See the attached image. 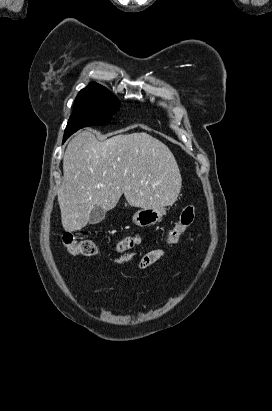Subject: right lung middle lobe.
Returning a JSON list of instances; mask_svg holds the SVG:
<instances>
[{
    "instance_id": "1",
    "label": "right lung middle lobe",
    "mask_w": 272,
    "mask_h": 411,
    "mask_svg": "<svg viewBox=\"0 0 272 411\" xmlns=\"http://www.w3.org/2000/svg\"><path fill=\"white\" fill-rule=\"evenodd\" d=\"M74 104L64 138L83 127L109 123L120 107V101L107 89L79 93Z\"/></svg>"
}]
</instances>
